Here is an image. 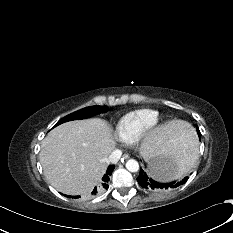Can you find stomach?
I'll return each mask as SVG.
<instances>
[{
	"instance_id": "1",
	"label": "stomach",
	"mask_w": 233,
	"mask_h": 233,
	"mask_svg": "<svg viewBox=\"0 0 233 233\" xmlns=\"http://www.w3.org/2000/svg\"><path fill=\"white\" fill-rule=\"evenodd\" d=\"M178 168L172 162V155L160 156L153 153L146 160L147 174L156 181H167L177 178Z\"/></svg>"
}]
</instances>
